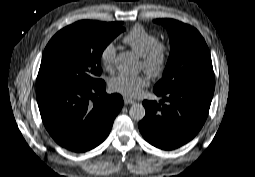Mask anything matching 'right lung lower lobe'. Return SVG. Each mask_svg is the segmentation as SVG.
<instances>
[{"label":"right lung lower lobe","mask_w":255,"mask_h":177,"mask_svg":"<svg viewBox=\"0 0 255 177\" xmlns=\"http://www.w3.org/2000/svg\"><path fill=\"white\" fill-rule=\"evenodd\" d=\"M105 82L92 87L51 84L36 88L42 121L61 146L85 152L108 136L123 106L119 94L107 95Z\"/></svg>","instance_id":"98d812e1"}]
</instances>
